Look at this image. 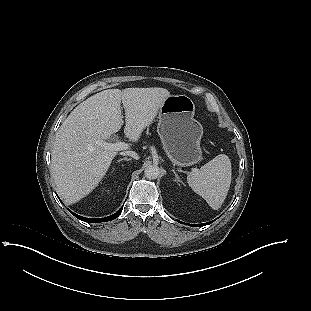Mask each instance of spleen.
<instances>
[{"label":"spleen","mask_w":311,"mask_h":311,"mask_svg":"<svg viewBox=\"0 0 311 311\" xmlns=\"http://www.w3.org/2000/svg\"><path fill=\"white\" fill-rule=\"evenodd\" d=\"M231 162L227 155L220 154L189 173L187 182L192 190L202 196L209 206L217 210L223 204L231 184Z\"/></svg>","instance_id":"obj_1"}]
</instances>
